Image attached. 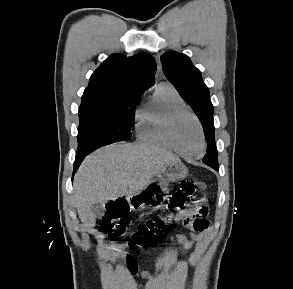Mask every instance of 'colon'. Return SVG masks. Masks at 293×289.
<instances>
[{
  "mask_svg": "<svg viewBox=\"0 0 293 289\" xmlns=\"http://www.w3.org/2000/svg\"><path fill=\"white\" fill-rule=\"evenodd\" d=\"M197 188L205 190L206 184L200 181H184L175 186L168 200L165 214L141 224L131 235L129 243L135 246H146L156 243L168 234L171 228L172 215L180 212L189 201H196ZM196 211L200 218H206L208 215V208L205 203H199ZM128 219L127 205L124 202L116 201L110 205L107 214L100 223L99 230L108 239H115L123 233ZM184 225L193 230L204 227L195 219H186ZM128 262L130 268L133 269V262L130 258Z\"/></svg>",
  "mask_w": 293,
  "mask_h": 289,
  "instance_id": "1",
  "label": "colon"
}]
</instances>
